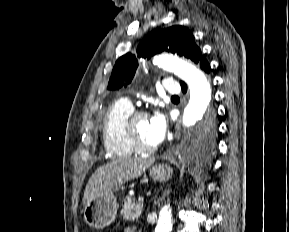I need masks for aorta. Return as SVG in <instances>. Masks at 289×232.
<instances>
[{
  "label": "aorta",
  "mask_w": 289,
  "mask_h": 232,
  "mask_svg": "<svg viewBox=\"0 0 289 232\" xmlns=\"http://www.w3.org/2000/svg\"><path fill=\"white\" fill-rule=\"evenodd\" d=\"M153 64L164 71L174 73L188 84L190 99L182 119L185 127H191L204 116L207 119L212 115L208 111L212 93L211 85L202 71L190 63L169 55L155 57ZM172 228L171 210L168 206H164L159 213L155 232H171Z\"/></svg>",
  "instance_id": "1"
}]
</instances>
